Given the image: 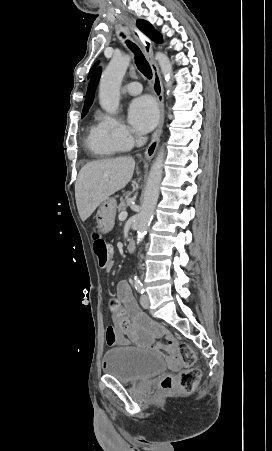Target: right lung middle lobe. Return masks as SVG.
Listing matches in <instances>:
<instances>
[{
    "label": "right lung middle lobe",
    "mask_w": 272,
    "mask_h": 451,
    "mask_svg": "<svg viewBox=\"0 0 272 451\" xmlns=\"http://www.w3.org/2000/svg\"><path fill=\"white\" fill-rule=\"evenodd\" d=\"M89 108H83L82 118L87 114Z\"/></svg>",
    "instance_id": "1"
}]
</instances>
